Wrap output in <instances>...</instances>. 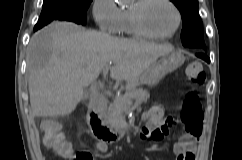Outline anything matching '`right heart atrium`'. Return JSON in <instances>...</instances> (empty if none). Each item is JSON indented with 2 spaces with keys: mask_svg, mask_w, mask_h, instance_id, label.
I'll use <instances>...</instances> for the list:
<instances>
[{
  "mask_svg": "<svg viewBox=\"0 0 242 160\" xmlns=\"http://www.w3.org/2000/svg\"><path fill=\"white\" fill-rule=\"evenodd\" d=\"M92 15L100 30L108 34L118 32L121 10L113 0H93Z\"/></svg>",
  "mask_w": 242,
  "mask_h": 160,
  "instance_id": "right-heart-atrium-1",
  "label": "right heart atrium"
}]
</instances>
